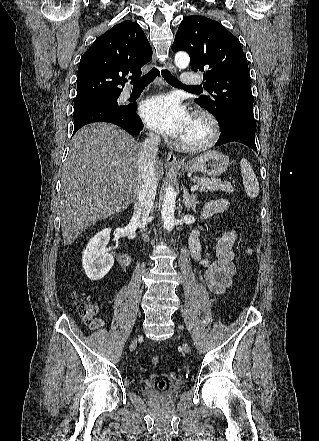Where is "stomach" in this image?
I'll return each instance as SVG.
<instances>
[{
  "instance_id": "obj_1",
  "label": "stomach",
  "mask_w": 319,
  "mask_h": 441,
  "mask_svg": "<svg viewBox=\"0 0 319 441\" xmlns=\"http://www.w3.org/2000/svg\"><path fill=\"white\" fill-rule=\"evenodd\" d=\"M228 167V159L218 151H207L198 157L188 161L182 172H201L211 177L223 174Z\"/></svg>"
}]
</instances>
